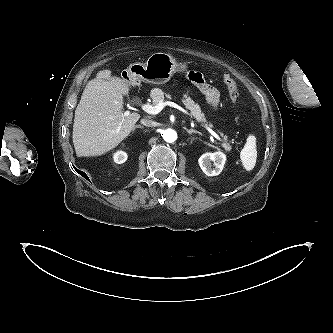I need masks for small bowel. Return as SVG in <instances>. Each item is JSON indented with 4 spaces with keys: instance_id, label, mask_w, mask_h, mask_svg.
Returning a JSON list of instances; mask_svg holds the SVG:
<instances>
[{
    "instance_id": "1",
    "label": "small bowel",
    "mask_w": 333,
    "mask_h": 333,
    "mask_svg": "<svg viewBox=\"0 0 333 333\" xmlns=\"http://www.w3.org/2000/svg\"><path fill=\"white\" fill-rule=\"evenodd\" d=\"M187 77L205 95L208 103L217 108L220 100L218 90L210 85L199 72L191 71L187 74Z\"/></svg>"
}]
</instances>
